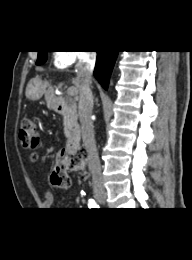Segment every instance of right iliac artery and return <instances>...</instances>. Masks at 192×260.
Listing matches in <instances>:
<instances>
[{"label": "right iliac artery", "mask_w": 192, "mask_h": 260, "mask_svg": "<svg viewBox=\"0 0 192 260\" xmlns=\"http://www.w3.org/2000/svg\"><path fill=\"white\" fill-rule=\"evenodd\" d=\"M88 207H89L90 209H97V208H99V205L97 204V202H96L95 200L89 199V201H88Z\"/></svg>", "instance_id": "obj_1"}]
</instances>
